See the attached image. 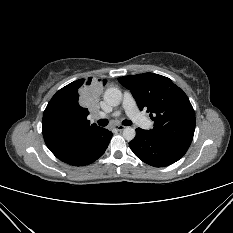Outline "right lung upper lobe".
<instances>
[{
	"label": "right lung upper lobe",
	"mask_w": 233,
	"mask_h": 233,
	"mask_svg": "<svg viewBox=\"0 0 233 233\" xmlns=\"http://www.w3.org/2000/svg\"><path fill=\"white\" fill-rule=\"evenodd\" d=\"M107 80H103L105 85ZM92 93V78L80 79L60 89L48 103L42 121L46 145L57 155H77L88 150L104 134V128L90 125L89 111L82 105L79 89Z\"/></svg>",
	"instance_id": "cb5924a9"
}]
</instances>
